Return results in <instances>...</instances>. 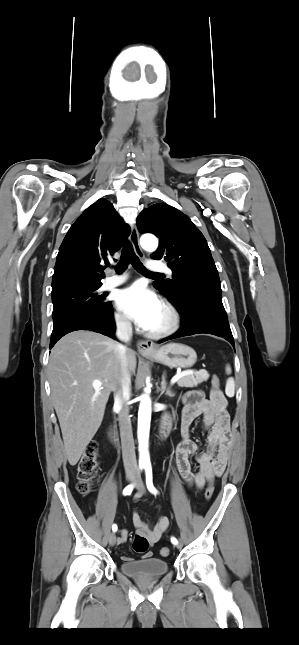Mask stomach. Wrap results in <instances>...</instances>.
Segmentation results:
<instances>
[{"label":"stomach","mask_w":299,"mask_h":645,"mask_svg":"<svg viewBox=\"0 0 299 645\" xmlns=\"http://www.w3.org/2000/svg\"><path fill=\"white\" fill-rule=\"evenodd\" d=\"M146 358L171 368H190L197 360L195 350L180 343H170L159 348L155 353Z\"/></svg>","instance_id":"stomach-1"}]
</instances>
